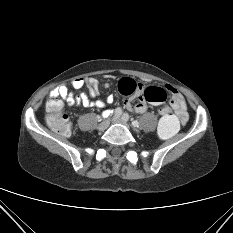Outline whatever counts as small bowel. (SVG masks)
Listing matches in <instances>:
<instances>
[{
  "instance_id": "c3829d8e",
  "label": "small bowel",
  "mask_w": 233,
  "mask_h": 233,
  "mask_svg": "<svg viewBox=\"0 0 233 233\" xmlns=\"http://www.w3.org/2000/svg\"><path fill=\"white\" fill-rule=\"evenodd\" d=\"M84 86L88 88V94L81 93L75 95L73 90L81 89ZM108 85H106L107 87ZM166 90L170 93V105L174 109L175 113L179 117L182 123L187 120L186 103L183 96L170 85L166 86ZM98 82L94 78H77L71 82V88L66 84H62L56 87L51 93V98L60 96L70 106H85V107H96L102 109L103 117L110 115V111L107 106L112 104L114 101L113 96H108L106 101L92 100L98 96ZM124 105L127 109L142 113L147 109V104L144 100H140L135 105H132L130 100H126Z\"/></svg>"
}]
</instances>
